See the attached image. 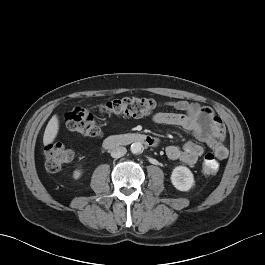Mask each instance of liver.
<instances>
[{"label":"liver","instance_id":"1","mask_svg":"<svg viewBox=\"0 0 265 265\" xmlns=\"http://www.w3.org/2000/svg\"><path fill=\"white\" fill-rule=\"evenodd\" d=\"M59 130V121L57 115H53L50 121L48 122L44 136H43V143L44 145H48L54 141L58 134Z\"/></svg>","mask_w":265,"mask_h":265}]
</instances>
